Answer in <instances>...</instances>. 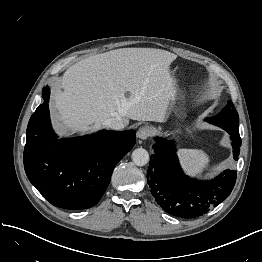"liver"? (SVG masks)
<instances>
[{"label": "liver", "instance_id": "obj_1", "mask_svg": "<svg viewBox=\"0 0 262 262\" xmlns=\"http://www.w3.org/2000/svg\"><path fill=\"white\" fill-rule=\"evenodd\" d=\"M171 52L122 48L71 66L53 93L56 127L68 134L96 131L109 118L163 122L177 91ZM63 89V90H61Z\"/></svg>", "mask_w": 262, "mask_h": 262}]
</instances>
